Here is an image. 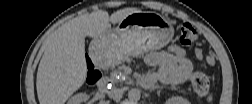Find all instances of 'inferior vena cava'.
I'll use <instances>...</instances> for the list:
<instances>
[{
	"label": "inferior vena cava",
	"mask_w": 252,
	"mask_h": 104,
	"mask_svg": "<svg viewBox=\"0 0 252 104\" xmlns=\"http://www.w3.org/2000/svg\"><path fill=\"white\" fill-rule=\"evenodd\" d=\"M109 96L115 100V101H119L122 96H123V90L121 89H114V90H111L110 93H109Z\"/></svg>",
	"instance_id": "obj_1"
}]
</instances>
